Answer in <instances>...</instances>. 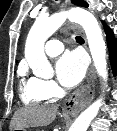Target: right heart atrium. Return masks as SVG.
<instances>
[{"instance_id":"1","label":"right heart atrium","mask_w":117,"mask_h":131,"mask_svg":"<svg viewBox=\"0 0 117 131\" xmlns=\"http://www.w3.org/2000/svg\"><path fill=\"white\" fill-rule=\"evenodd\" d=\"M41 81V87L44 90V92L51 97H56L60 93L59 86L52 80H40Z\"/></svg>"}]
</instances>
